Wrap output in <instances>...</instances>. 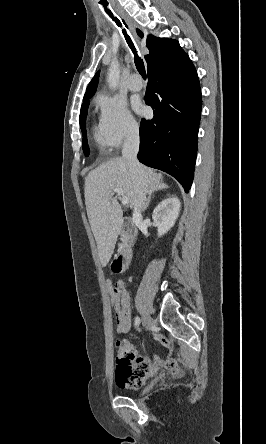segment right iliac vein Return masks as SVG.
<instances>
[{
	"label": "right iliac vein",
	"mask_w": 266,
	"mask_h": 444,
	"mask_svg": "<svg viewBox=\"0 0 266 444\" xmlns=\"http://www.w3.org/2000/svg\"><path fill=\"white\" fill-rule=\"evenodd\" d=\"M150 323H151L150 317L147 314H144L142 318V326L145 329H148L150 327Z\"/></svg>",
	"instance_id": "1"
}]
</instances>
